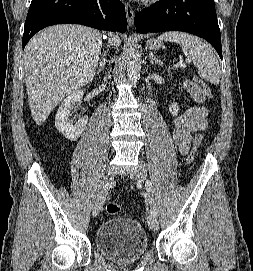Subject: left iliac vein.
I'll return each instance as SVG.
<instances>
[{
  "instance_id": "4c4485c4",
  "label": "left iliac vein",
  "mask_w": 253,
  "mask_h": 271,
  "mask_svg": "<svg viewBox=\"0 0 253 271\" xmlns=\"http://www.w3.org/2000/svg\"><path fill=\"white\" fill-rule=\"evenodd\" d=\"M130 177L139 182H143L146 179L145 165L140 162L137 168H134L130 172ZM147 223L151 230L157 231L159 229V222L157 216L151 211L147 215Z\"/></svg>"
}]
</instances>
